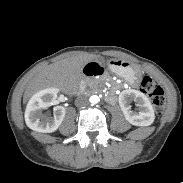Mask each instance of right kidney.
I'll return each instance as SVG.
<instances>
[{
	"instance_id": "ca27d5eb",
	"label": "right kidney",
	"mask_w": 183,
	"mask_h": 183,
	"mask_svg": "<svg viewBox=\"0 0 183 183\" xmlns=\"http://www.w3.org/2000/svg\"><path fill=\"white\" fill-rule=\"evenodd\" d=\"M58 89L50 87L36 93L28 102L25 111V121L27 126L36 132L52 133L61 125L66 110L63 106L54 108V116L43 115V110L53 105L57 97Z\"/></svg>"
}]
</instances>
